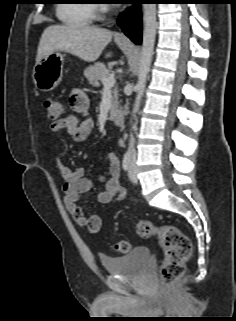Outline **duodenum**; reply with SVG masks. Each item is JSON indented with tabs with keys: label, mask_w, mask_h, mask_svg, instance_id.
<instances>
[{
	"label": "duodenum",
	"mask_w": 236,
	"mask_h": 321,
	"mask_svg": "<svg viewBox=\"0 0 236 321\" xmlns=\"http://www.w3.org/2000/svg\"><path fill=\"white\" fill-rule=\"evenodd\" d=\"M111 120L116 124V125H122L124 123V115L122 112H115L111 115Z\"/></svg>",
	"instance_id": "duodenum-1"
}]
</instances>
